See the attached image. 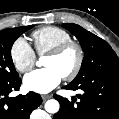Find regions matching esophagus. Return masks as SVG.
<instances>
[{
	"label": "esophagus",
	"instance_id": "1",
	"mask_svg": "<svg viewBox=\"0 0 119 119\" xmlns=\"http://www.w3.org/2000/svg\"><path fill=\"white\" fill-rule=\"evenodd\" d=\"M50 97H51L50 95H42L43 101L48 100Z\"/></svg>",
	"mask_w": 119,
	"mask_h": 119
}]
</instances>
